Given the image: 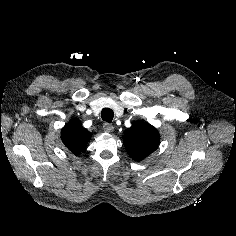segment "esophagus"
<instances>
[{"instance_id":"esophagus-1","label":"esophagus","mask_w":236,"mask_h":236,"mask_svg":"<svg viewBox=\"0 0 236 236\" xmlns=\"http://www.w3.org/2000/svg\"><path fill=\"white\" fill-rule=\"evenodd\" d=\"M103 130L107 133H111V132H113L114 127H113V125H111L109 123H104L103 124Z\"/></svg>"}]
</instances>
